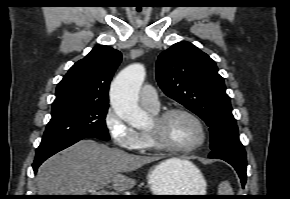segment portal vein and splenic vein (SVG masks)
Returning <instances> with one entry per match:
<instances>
[{
    "label": "portal vein and splenic vein",
    "instance_id": "portal-vein-and-splenic-vein-1",
    "mask_svg": "<svg viewBox=\"0 0 290 199\" xmlns=\"http://www.w3.org/2000/svg\"><path fill=\"white\" fill-rule=\"evenodd\" d=\"M89 192L92 194V195H115V193L113 192H110V191H107V190H99V191H96V190H89Z\"/></svg>",
    "mask_w": 290,
    "mask_h": 199
}]
</instances>
